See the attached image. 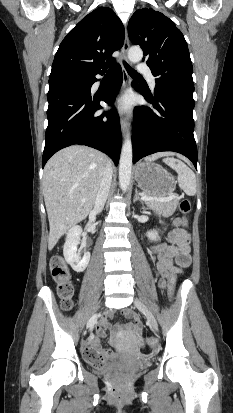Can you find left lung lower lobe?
Here are the masks:
<instances>
[{
	"label": "left lung lower lobe",
	"mask_w": 233,
	"mask_h": 413,
	"mask_svg": "<svg viewBox=\"0 0 233 413\" xmlns=\"http://www.w3.org/2000/svg\"><path fill=\"white\" fill-rule=\"evenodd\" d=\"M140 93L153 104L154 109L145 106L135 108L133 163L156 152L174 151L189 158L197 169L193 94L157 82L154 96L142 89Z\"/></svg>",
	"instance_id": "left-lung-lower-lobe-1"
}]
</instances>
